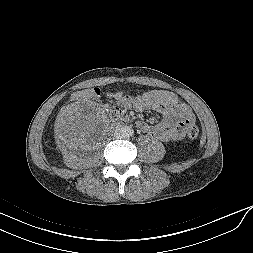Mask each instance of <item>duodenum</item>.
<instances>
[{"label":"duodenum","mask_w":253,"mask_h":253,"mask_svg":"<svg viewBox=\"0 0 253 253\" xmlns=\"http://www.w3.org/2000/svg\"><path fill=\"white\" fill-rule=\"evenodd\" d=\"M121 118L124 120V121H127L128 120V117L126 115H121Z\"/></svg>","instance_id":"obj_1"}]
</instances>
